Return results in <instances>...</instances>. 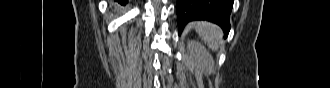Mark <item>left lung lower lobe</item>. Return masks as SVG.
<instances>
[{"mask_svg": "<svg viewBox=\"0 0 330 88\" xmlns=\"http://www.w3.org/2000/svg\"><path fill=\"white\" fill-rule=\"evenodd\" d=\"M234 0H178L177 17L179 35L184 26L192 20H208L218 24L224 37L230 31V13Z\"/></svg>", "mask_w": 330, "mask_h": 88, "instance_id": "1", "label": "left lung lower lobe"}]
</instances>
